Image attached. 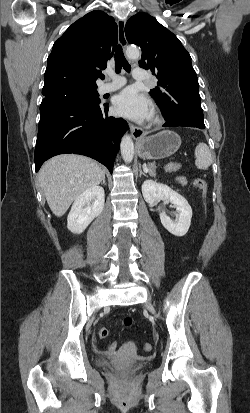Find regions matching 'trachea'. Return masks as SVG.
I'll return each mask as SVG.
<instances>
[{
	"label": "trachea",
	"instance_id": "1",
	"mask_svg": "<svg viewBox=\"0 0 250 413\" xmlns=\"http://www.w3.org/2000/svg\"><path fill=\"white\" fill-rule=\"evenodd\" d=\"M122 67L127 71H131V66L124 57L122 47L120 45L117 46L116 52H115V71L116 73H120Z\"/></svg>",
	"mask_w": 250,
	"mask_h": 413
}]
</instances>
